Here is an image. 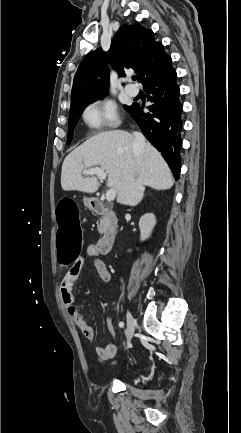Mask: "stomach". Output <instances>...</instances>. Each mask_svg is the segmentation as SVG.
<instances>
[{
    "instance_id": "stomach-1",
    "label": "stomach",
    "mask_w": 241,
    "mask_h": 433,
    "mask_svg": "<svg viewBox=\"0 0 241 433\" xmlns=\"http://www.w3.org/2000/svg\"><path fill=\"white\" fill-rule=\"evenodd\" d=\"M83 201H84V204H85L86 207H90V199H89V198H86V197H85V198L83 199Z\"/></svg>"
}]
</instances>
